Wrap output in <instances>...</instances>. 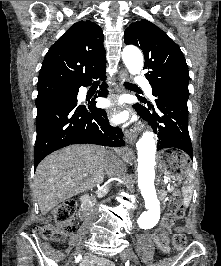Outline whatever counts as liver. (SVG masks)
I'll return each mask as SVG.
<instances>
[{
    "label": "liver",
    "instance_id": "liver-1",
    "mask_svg": "<svg viewBox=\"0 0 221 266\" xmlns=\"http://www.w3.org/2000/svg\"><path fill=\"white\" fill-rule=\"evenodd\" d=\"M108 154L127 158L122 149L108 152L88 144L71 145L46 157L38 165L34 179L42 215L74 195L101 184Z\"/></svg>",
    "mask_w": 221,
    "mask_h": 266
}]
</instances>
